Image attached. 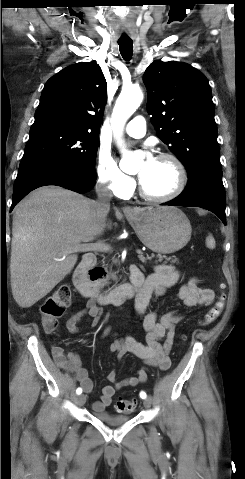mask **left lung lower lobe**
<instances>
[{
  "instance_id": "0a47b994",
  "label": "left lung lower lobe",
  "mask_w": 245,
  "mask_h": 479,
  "mask_svg": "<svg viewBox=\"0 0 245 479\" xmlns=\"http://www.w3.org/2000/svg\"><path fill=\"white\" fill-rule=\"evenodd\" d=\"M162 205L201 207L216 214L226 225V197L219 163L205 165L190 176L185 190Z\"/></svg>"
}]
</instances>
